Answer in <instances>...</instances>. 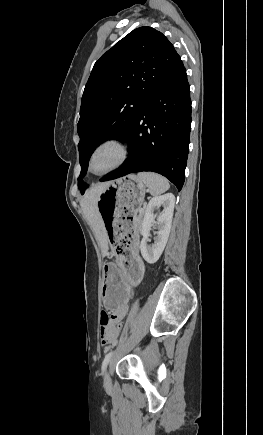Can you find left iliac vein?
<instances>
[{
	"mask_svg": "<svg viewBox=\"0 0 263 435\" xmlns=\"http://www.w3.org/2000/svg\"><path fill=\"white\" fill-rule=\"evenodd\" d=\"M104 384H105L106 387L111 386V378H110V375H109L108 371H106L105 375H104Z\"/></svg>",
	"mask_w": 263,
	"mask_h": 435,
	"instance_id": "obj_1",
	"label": "left iliac vein"
}]
</instances>
